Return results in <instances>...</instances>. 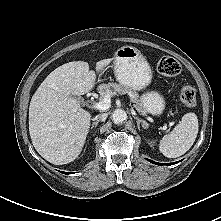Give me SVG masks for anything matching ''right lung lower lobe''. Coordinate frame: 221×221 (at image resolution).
Here are the masks:
<instances>
[{
  "label": "right lung lower lobe",
  "instance_id": "1",
  "mask_svg": "<svg viewBox=\"0 0 221 221\" xmlns=\"http://www.w3.org/2000/svg\"><path fill=\"white\" fill-rule=\"evenodd\" d=\"M62 173H64V174H69V173H67V172H62Z\"/></svg>",
  "mask_w": 221,
  "mask_h": 221
}]
</instances>
